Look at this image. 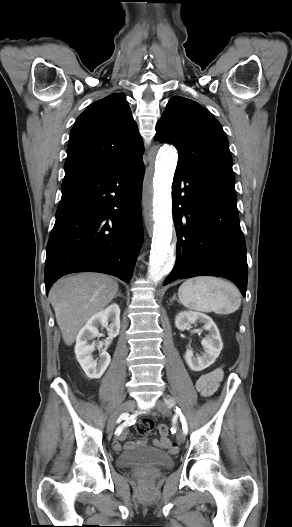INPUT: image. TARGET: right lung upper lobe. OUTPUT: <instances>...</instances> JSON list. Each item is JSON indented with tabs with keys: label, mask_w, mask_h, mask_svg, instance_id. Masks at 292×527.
I'll return each instance as SVG.
<instances>
[{
	"label": "right lung upper lobe",
	"mask_w": 292,
	"mask_h": 527,
	"mask_svg": "<svg viewBox=\"0 0 292 527\" xmlns=\"http://www.w3.org/2000/svg\"><path fill=\"white\" fill-rule=\"evenodd\" d=\"M143 155L142 138L123 93L92 103L70 133L65 175L105 172L130 164Z\"/></svg>",
	"instance_id": "1"
}]
</instances>
